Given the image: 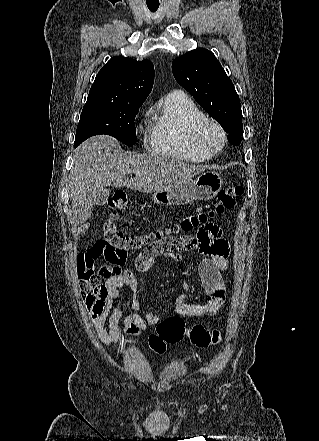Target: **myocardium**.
<instances>
[{
  "label": "myocardium",
  "instance_id": "myocardium-1",
  "mask_svg": "<svg viewBox=\"0 0 319 441\" xmlns=\"http://www.w3.org/2000/svg\"><path fill=\"white\" fill-rule=\"evenodd\" d=\"M212 133L218 136L216 142L211 138ZM193 141L198 148L215 154L221 151L226 145L227 134L217 121L207 118L196 125L193 133Z\"/></svg>",
  "mask_w": 319,
  "mask_h": 441
}]
</instances>
